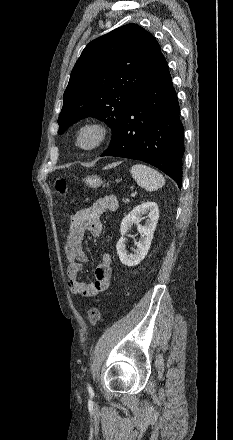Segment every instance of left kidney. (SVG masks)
I'll use <instances>...</instances> for the list:
<instances>
[{
	"mask_svg": "<svg viewBox=\"0 0 233 440\" xmlns=\"http://www.w3.org/2000/svg\"><path fill=\"white\" fill-rule=\"evenodd\" d=\"M145 214H147L148 219L145 221V225L142 226L140 222L142 220V216ZM158 219V205L157 203L151 201H147L146 203L136 206L128 215L124 217L120 225L122 237L119 239L116 245L117 254L122 264L128 267L136 266L145 258L150 248ZM133 224L137 225L140 239L139 241L135 242L137 249L135 250L134 254H127L124 236Z\"/></svg>",
	"mask_w": 233,
	"mask_h": 440,
	"instance_id": "5707ae66",
	"label": "left kidney"
}]
</instances>
